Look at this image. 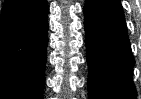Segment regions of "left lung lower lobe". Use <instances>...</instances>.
<instances>
[{
    "label": "left lung lower lobe",
    "mask_w": 141,
    "mask_h": 99,
    "mask_svg": "<svg viewBox=\"0 0 141 99\" xmlns=\"http://www.w3.org/2000/svg\"><path fill=\"white\" fill-rule=\"evenodd\" d=\"M90 99H135V64L119 0H86L84 6Z\"/></svg>",
    "instance_id": "0a47b994"
}]
</instances>
